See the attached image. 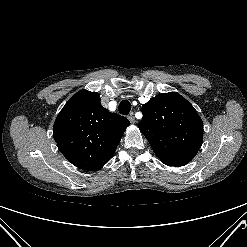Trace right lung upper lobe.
I'll return each instance as SVG.
<instances>
[{
  "mask_svg": "<svg viewBox=\"0 0 247 247\" xmlns=\"http://www.w3.org/2000/svg\"><path fill=\"white\" fill-rule=\"evenodd\" d=\"M129 125L125 117L105 109L97 93L81 90L58 114L53 137L70 163L97 171L112 158Z\"/></svg>",
  "mask_w": 247,
  "mask_h": 247,
  "instance_id": "cb5924a9",
  "label": "right lung upper lobe"
}]
</instances>
